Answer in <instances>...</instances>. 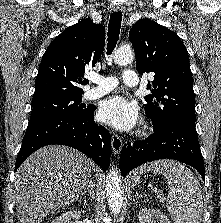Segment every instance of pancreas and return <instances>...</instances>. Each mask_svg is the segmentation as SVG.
<instances>
[{
    "label": "pancreas",
    "instance_id": "obj_1",
    "mask_svg": "<svg viewBox=\"0 0 221 223\" xmlns=\"http://www.w3.org/2000/svg\"><path fill=\"white\" fill-rule=\"evenodd\" d=\"M158 198L160 199V201H163L164 200V197L160 193L158 194Z\"/></svg>",
    "mask_w": 221,
    "mask_h": 223
}]
</instances>
